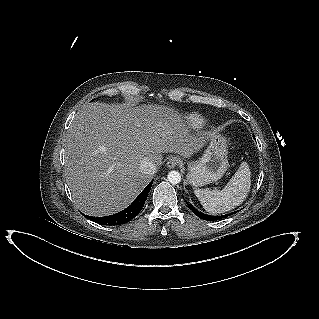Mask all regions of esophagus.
Wrapping results in <instances>:
<instances>
[{
    "label": "esophagus",
    "mask_w": 319,
    "mask_h": 319,
    "mask_svg": "<svg viewBox=\"0 0 319 319\" xmlns=\"http://www.w3.org/2000/svg\"><path fill=\"white\" fill-rule=\"evenodd\" d=\"M181 163V158L178 156H172L169 158L167 162V167L169 169H173Z\"/></svg>",
    "instance_id": "1"
}]
</instances>
